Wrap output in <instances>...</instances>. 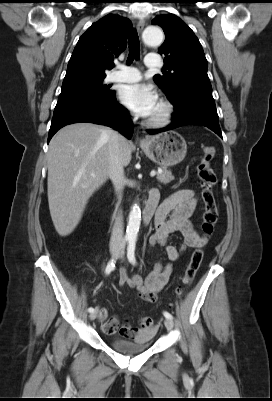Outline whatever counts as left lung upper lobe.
<instances>
[{
	"instance_id": "obj_1",
	"label": "left lung upper lobe",
	"mask_w": 272,
	"mask_h": 401,
	"mask_svg": "<svg viewBox=\"0 0 272 401\" xmlns=\"http://www.w3.org/2000/svg\"><path fill=\"white\" fill-rule=\"evenodd\" d=\"M152 24L164 30L165 41L158 52L164 55V69H167L163 75H155L154 81L171 103L186 96L212 97L208 62L193 31L174 14L157 16Z\"/></svg>"
}]
</instances>
